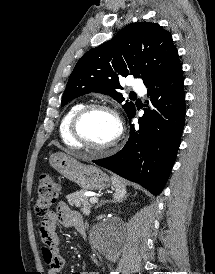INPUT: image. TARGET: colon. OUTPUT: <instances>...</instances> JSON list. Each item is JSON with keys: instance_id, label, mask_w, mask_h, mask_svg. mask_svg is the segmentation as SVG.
<instances>
[{"instance_id": "colon-1", "label": "colon", "mask_w": 215, "mask_h": 274, "mask_svg": "<svg viewBox=\"0 0 215 274\" xmlns=\"http://www.w3.org/2000/svg\"><path fill=\"white\" fill-rule=\"evenodd\" d=\"M60 192L59 184L49 173H42L37 188V201L35 206L36 215L46 218L51 207L56 203Z\"/></svg>"}]
</instances>
